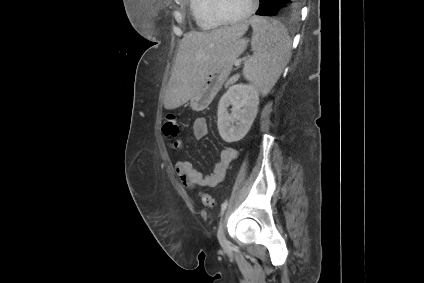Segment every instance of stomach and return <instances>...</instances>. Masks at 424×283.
Listing matches in <instances>:
<instances>
[{
  "label": "stomach",
  "instance_id": "0dacf381",
  "mask_svg": "<svg viewBox=\"0 0 424 283\" xmlns=\"http://www.w3.org/2000/svg\"><path fill=\"white\" fill-rule=\"evenodd\" d=\"M247 40L238 38L228 43L215 63L214 67L204 77L200 87L190 99L191 107L201 111L212 101L223 82L232 71L235 60L245 51ZM206 96V99H203Z\"/></svg>",
  "mask_w": 424,
  "mask_h": 283
}]
</instances>
